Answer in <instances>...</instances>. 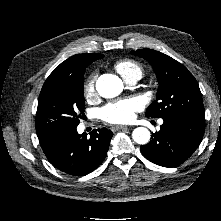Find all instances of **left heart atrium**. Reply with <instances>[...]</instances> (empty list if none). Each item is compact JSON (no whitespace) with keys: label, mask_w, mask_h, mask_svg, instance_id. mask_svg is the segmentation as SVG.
Listing matches in <instances>:
<instances>
[{"label":"left heart atrium","mask_w":221,"mask_h":221,"mask_svg":"<svg viewBox=\"0 0 221 221\" xmlns=\"http://www.w3.org/2000/svg\"><path fill=\"white\" fill-rule=\"evenodd\" d=\"M142 109L138 98H124L111 102L101 109V118L110 124H126L134 120L136 112Z\"/></svg>","instance_id":"left-heart-atrium-1"}]
</instances>
